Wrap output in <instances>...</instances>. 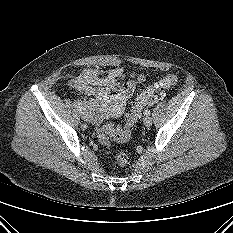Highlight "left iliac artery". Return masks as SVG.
I'll use <instances>...</instances> for the list:
<instances>
[{"instance_id": "1", "label": "left iliac artery", "mask_w": 233, "mask_h": 233, "mask_svg": "<svg viewBox=\"0 0 233 233\" xmlns=\"http://www.w3.org/2000/svg\"><path fill=\"white\" fill-rule=\"evenodd\" d=\"M144 114L147 115V116L150 115V110H148V109L145 110Z\"/></svg>"}]
</instances>
